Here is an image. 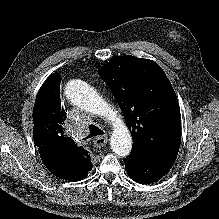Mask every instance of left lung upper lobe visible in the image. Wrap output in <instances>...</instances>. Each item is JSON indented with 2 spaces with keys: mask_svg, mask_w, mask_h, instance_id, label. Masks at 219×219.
Listing matches in <instances>:
<instances>
[{
  "mask_svg": "<svg viewBox=\"0 0 219 219\" xmlns=\"http://www.w3.org/2000/svg\"><path fill=\"white\" fill-rule=\"evenodd\" d=\"M99 76L111 89L133 139V152L177 157L181 116L174 89L162 68L152 60L116 56Z\"/></svg>",
  "mask_w": 219,
  "mask_h": 219,
  "instance_id": "left-lung-upper-lobe-1",
  "label": "left lung upper lobe"
}]
</instances>
